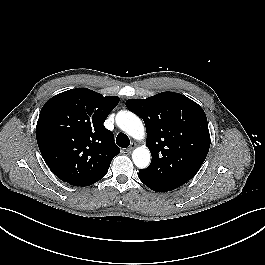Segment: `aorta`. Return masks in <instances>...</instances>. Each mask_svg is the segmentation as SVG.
I'll list each match as a JSON object with an SVG mask.
<instances>
[{"label": "aorta", "instance_id": "aorta-1", "mask_svg": "<svg viewBox=\"0 0 265 265\" xmlns=\"http://www.w3.org/2000/svg\"><path fill=\"white\" fill-rule=\"evenodd\" d=\"M118 127L134 139H143L145 130L142 121L138 116L129 111H122L116 115ZM150 151L147 147L141 146L136 148L132 154V160L136 167L146 168L150 164Z\"/></svg>", "mask_w": 265, "mask_h": 265}]
</instances>
